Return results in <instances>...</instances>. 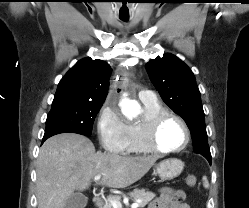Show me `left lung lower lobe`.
Segmentation results:
<instances>
[{
	"label": "left lung lower lobe",
	"instance_id": "left-lung-lower-lobe-1",
	"mask_svg": "<svg viewBox=\"0 0 249 208\" xmlns=\"http://www.w3.org/2000/svg\"><path fill=\"white\" fill-rule=\"evenodd\" d=\"M208 161H209V163L211 164V158H209V157H205Z\"/></svg>",
	"mask_w": 249,
	"mask_h": 208
}]
</instances>
